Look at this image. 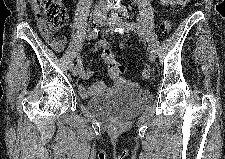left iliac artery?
Wrapping results in <instances>:
<instances>
[{
    "mask_svg": "<svg viewBox=\"0 0 225 159\" xmlns=\"http://www.w3.org/2000/svg\"><path fill=\"white\" fill-rule=\"evenodd\" d=\"M129 24H130L132 30H134V31L138 32L140 35H142L141 41H143L150 48L152 45L148 38L149 36H148L147 31L144 28H142V26L138 23L129 22Z\"/></svg>",
    "mask_w": 225,
    "mask_h": 159,
    "instance_id": "1",
    "label": "left iliac artery"
}]
</instances>
